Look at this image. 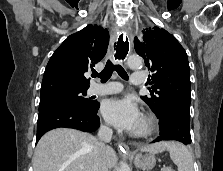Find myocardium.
<instances>
[{"label":"myocardium","mask_w":223,"mask_h":171,"mask_svg":"<svg viewBox=\"0 0 223 171\" xmlns=\"http://www.w3.org/2000/svg\"><path fill=\"white\" fill-rule=\"evenodd\" d=\"M157 128V122L151 115H143L141 118V128L134 132V136L138 138H146L152 135Z\"/></svg>","instance_id":"myocardium-1"}]
</instances>
